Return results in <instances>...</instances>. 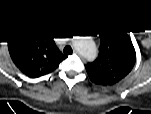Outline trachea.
Here are the masks:
<instances>
[{
    "instance_id": "1",
    "label": "trachea",
    "mask_w": 151,
    "mask_h": 114,
    "mask_svg": "<svg viewBox=\"0 0 151 114\" xmlns=\"http://www.w3.org/2000/svg\"><path fill=\"white\" fill-rule=\"evenodd\" d=\"M72 52V49L70 47H65L64 48V53L69 54Z\"/></svg>"
}]
</instances>
